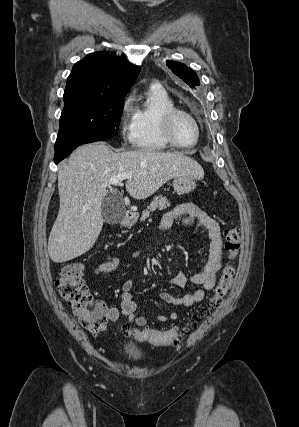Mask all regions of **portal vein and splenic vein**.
Instances as JSON below:
<instances>
[{"label":"portal vein and splenic vein","instance_id":"portal-vein-and-splenic-vein-1","mask_svg":"<svg viewBox=\"0 0 299 427\" xmlns=\"http://www.w3.org/2000/svg\"><path fill=\"white\" fill-rule=\"evenodd\" d=\"M132 175L129 173H121L119 175H117L116 177H113L110 181L109 184L115 185V186H119L122 185V181L125 179H129L131 178ZM107 185L104 184L102 185V187H106Z\"/></svg>","mask_w":299,"mask_h":427}]
</instances>
